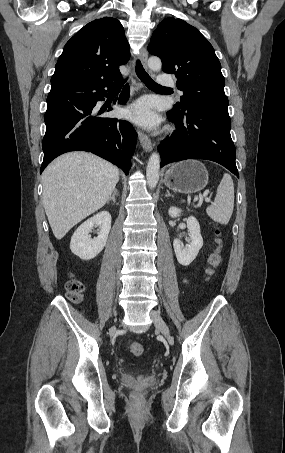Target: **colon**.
I'll return each mask as SVG.
<instances>
[{"instance_id": "obj_1", "label": "colon", "mask_w": 285, "mask_h": 453, "mask_svg": "<svg viewBox=\"0 0 285 453\" xmlns=\"http://www.w3.org/2000/svg\"><path fill=\"white\" fill-rule=\"evenodd\" d=\"M215 234L217 236L216 239L217 246L208 259L209 262V268L207 269L208 277H213L215 275L217 269L221 266L223 260L222 259L223 242L221 238L222 232L219 228H217L215 230ZM66 291L67 297L70 301L74 303H79L83 299L85 285L77 278L70 277L66 283ZM127 347L129 352L134 356H141L144 353V346L138 341L134 340L128 341Z\"/></svg>"}]
</instances>
